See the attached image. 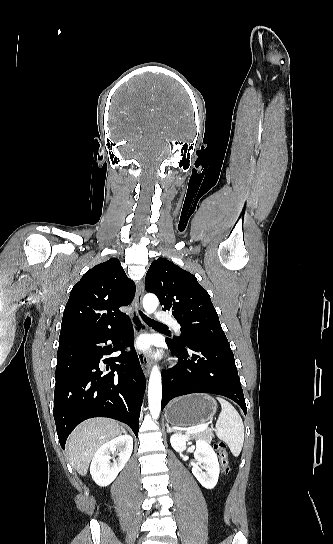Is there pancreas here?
<instances>
[{
	"mask_svg": "<svg viewBox=\"0 0 333 544\" xmlns=\"http://www.w3.org/2000/svg\"><path fill=\"white\" fill-rule=\"evenodd\" d=\"M193 437L199 438V439H204L206 441H211L212 437H213V434H212L211 430L206 429L205 431L193 434Z\"/></svg>",
	"mask_w": 333,
	"mask_h": 544,
	"instance_id": "cf45deb5",
	"label": "pancreas"
}]
</instances>
